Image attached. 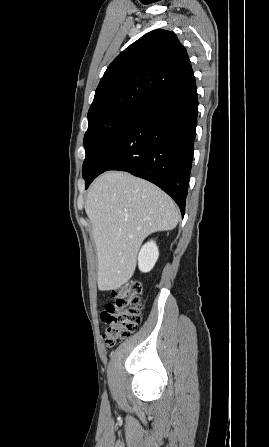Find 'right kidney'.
<instances>
[{
    "mask_svg": "<svg viewBox=\"0 0 269 447\" xmlns=\"http://www.w3.org/2000/svg\"><path fill=\"white\" fill-rule=\"evenodd\" d=\"M159 257L158 245L155 241H147L138 253V267L140 271H150Z\"/></svg>",
    "mask_w": 269,
    "mask_h": 447,
    "instance_id": "right-kidney-1",
    "label": "right kidney"
}]
</instances>
